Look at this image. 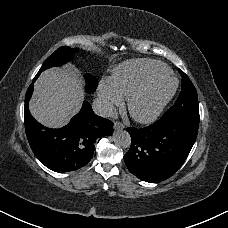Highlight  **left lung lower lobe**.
<instances>
[{"label": "left lung lower lobe", "instance_id": "obj_1", "mask_svg": "<svg viewBox=\"0 0 228 228\" xmlns=\"http://www.w3.org/2000/svg\"><path fill=\"white\" fill-rule=\"evenodd\" d=\"M198 127L195 123L159 120L144 128L128 127L132 143L124 155L127 168L146 182L168 179L186 160L196 141Z\"/></svg>", "mask_w": 228, "mask_h": 228}]
</instances>
